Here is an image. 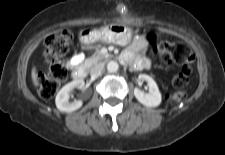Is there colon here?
<instances>
[{"instance_id": "obj_1", "label": "colon", "mask_w": 225, "mask_h": 155, "mask_svg": "<svg viewBox=\"0 0 225 155\" xmlns=\"http://www.w3.org/2000/svg\"><path fill=\"white\" fill-rule=\"evenodd\" d=\"M72 40L73 34L68 30L51 34L45 39V56L50 65L47 71L38 75L39 95L43 99L52 98L67 77V68L59 58L68 53ZM146 40L164 63H176L180 66V71L172 79L174 91L165 97L168 104L174 105L183 98V88L192 71V51L181 41H160L153 35H147Z\"/></svg>"}]
</instances>
